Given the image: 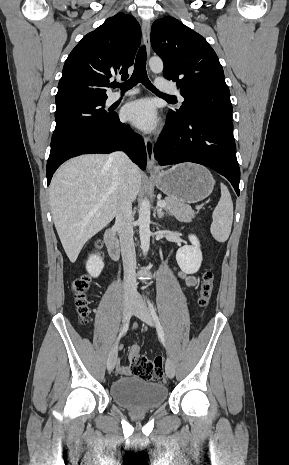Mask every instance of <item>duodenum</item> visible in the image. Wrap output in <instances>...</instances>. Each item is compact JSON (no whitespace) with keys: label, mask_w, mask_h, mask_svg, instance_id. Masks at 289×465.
Segmentation results:
<instances>
[{"label":"duodenum","mask_w":289,"mask_h":465,"mask_svg":"<svg viewBox=\"0 0 289 465\" xmlns=\"http://www.w3.org/2000/svg\"><path fill=\"white\" fill-rule=\"evenodd\" d=\"M108 252L113 260L120 258V245L117 236L112 228H108L104 235Z\"/></svg>","instance_id":"duodenum-1"}]
</instances>
